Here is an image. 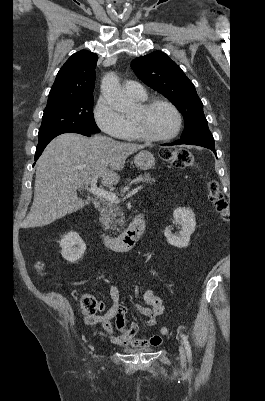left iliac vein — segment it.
Here are the masks:
<instances>
[{
	"label": "left iliac vein",
	"instance_id": "4c4485c4",
	"mask_svg": "<svg viewBox=\"0 0 265 401\" xmlns=\"http://www.w3.org/2000/svg\"><path fill=\"white\" fill-rule=\"evenodd\" d=\"M179 351H180V360L182 362H184L185 361V350L182 345L179 347Z\"/></svg>",
	"mask_w": 265,
	"mask_h": 401
}]
</instances>
